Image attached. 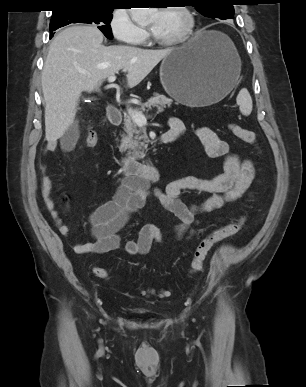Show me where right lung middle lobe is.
Wrapping results in <instances>:
<instances>
[{"instance_id": "obj_1", "label": "right lung middle lobe", "mask_w": 306, "mask_h": 387, "mask_svg": "<svg viewBox=\"0 0 306 387\" xmlns=\"http://www.w3.org/2000/svg\"><path fill=\"white\" fill-rule=\"evenodd\" d=\"M112 12V7L104 6L66 8L61 12L52 14L49 29L52 32L71 23H87L97 26L108 39H112L110 27Z\"/></svg>"}]
</instances>
